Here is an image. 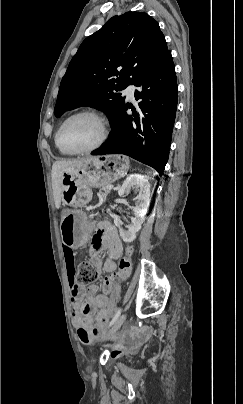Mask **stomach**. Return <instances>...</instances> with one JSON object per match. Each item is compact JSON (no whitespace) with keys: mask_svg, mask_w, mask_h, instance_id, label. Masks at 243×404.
I'll return each mask as SVG.
<instances>
[{"mask_svg":"<svg viewBox=\"0 0 243 404\" xmlns=\"http://www.w3.org/2000/svg\"><path fill=\"white\" fill-rule=\"evenodd\" d=\"M129 169V160L121 155H103L81 159L62 173V202L73 209L63 213L61 234L70 248H79L88 240L93 222L83 210L92 199L91 188L104 187Z\"/></svg>","mask_w":243,"mask_h":404,"instance_id":"0dacf381","label":"stomach"}]
</instances>
